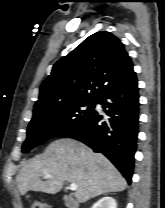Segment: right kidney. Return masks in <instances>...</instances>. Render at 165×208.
<instances>
[{
  "label": "right kidney",
  "mask_w": 165,
  "mask_h": 208,
  "mask_svg": "<svg viewBox=\"0 0 165 208\" xmlns=\"http://www.w3.org/2000/svg\"><path fill=\"white\" fill-rule=\"evenodd\" d=\"M92 208H117V203L112 197H103Z\"/></svg>",
  "instance_id": "1"
}]
</instances>
